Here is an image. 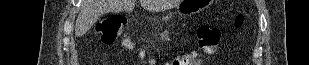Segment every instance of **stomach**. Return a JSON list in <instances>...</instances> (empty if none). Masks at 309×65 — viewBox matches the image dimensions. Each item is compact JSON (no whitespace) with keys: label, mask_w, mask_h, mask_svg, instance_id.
Instances as JSON below:
<instances>
[{"label":"stomach","mask_w":309,"mask_h":65,"mask_svg":"<svg viewBox=\"0 0 309 65\" xmlns=\"http://www.w3.org/2000/svg\"><path fill=\"white\" fill-rule=\"evenodd\" d=\"M208 4V0H184L178 7V13L181 15L194 14L205 9Z\"/></svg>","instance_id":"0dacf381"}]
</instances>
